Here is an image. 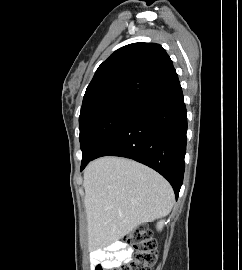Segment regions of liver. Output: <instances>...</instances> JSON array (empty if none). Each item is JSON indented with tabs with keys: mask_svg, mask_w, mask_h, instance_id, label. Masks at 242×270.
Returning <instances> with one entry per match:
<instances>
[{
	"mask_svg": "<svg viewBox=\"0 0 242 270\" xmlns=\"http://www.w3.org/2000/svg\"><path fill=\"white\" fill-rule=\"evenodd\" d=\"M89 246L119 241L139 225L166 216L174 205L170 184L133 160L103 157L84 171Z\"/></svg>",
	"mask_w": 242,
	"mask_h": 270,
	"instance_id": "liver-1",
	"label": "liver"
}]
</instances>
